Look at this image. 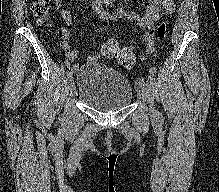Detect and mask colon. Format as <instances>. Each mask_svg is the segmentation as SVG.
<instances>
[{"mask_svg":"<svg viewBox=\"0 0 219 192\" xmlns=\"http://www.w3.org/2000/svg\"><path fill=\"white\" fill-rule=\"evenodd\" d=\"M30 10L34 18L41 24H49L51 15L50 0H32ZM166 32L165 23H161L155 32L157 38H163ZM154 49V43H152ZM150 50V51H151ZM101 55L105 58L115 59L122 66L131 68L135 64V53L133 47L120 46L115 39L107 40L100 49Z\"/></svg>","mask_w":219,"mask_h":192,"instance_id":"obj_1","label":"colon"}]
</instances>
